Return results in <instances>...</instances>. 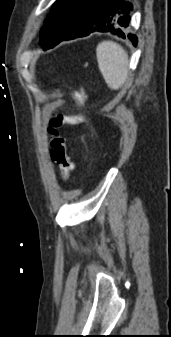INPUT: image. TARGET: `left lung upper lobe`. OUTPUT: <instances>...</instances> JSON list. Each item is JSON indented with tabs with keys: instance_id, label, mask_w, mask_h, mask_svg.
I'll list each match as a JSON object with an SVG mask.
<instances>
[{
	"instance_id": "obj_1",
	"label": "left lung upper lobe",
	"mask_w": 171,
	"mask_h": 337,
	"mask_svg": "<svg viewBox=\"0 0 171 337\" xmlns=\"http://www.w3.org/2000/svg\"><path fill=\"white\" fill-rule=\"evenodd\" d=\"M85 0H57L41 29L40 45L44 50L57 45L76 25Z\"/></svg>"
}]
</instances>
